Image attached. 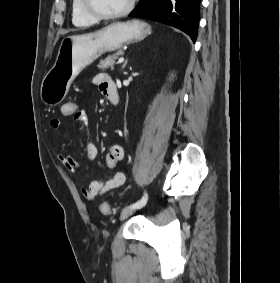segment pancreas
I'll list each match as a JSON object with an SVG mask.
<instances>
[{
	"label": "pancreas",
	"instance_id": "obj_1",
	"mask_svg": "<svg viewBox=\"0 0 280 283\" xmlns=\"http://www.w3.org/2000/svg\"><path fill=\"white\" fill-rule=\"evenodd\" d=\"M123 54L122 50L117 51L116 53L100 60L99 64H98V68L99 69H108V68H114V60L119 57L120 55Z\"/></svg>",
	"mask_w": 280,
	"mask_h": 283
}]
</instances>
